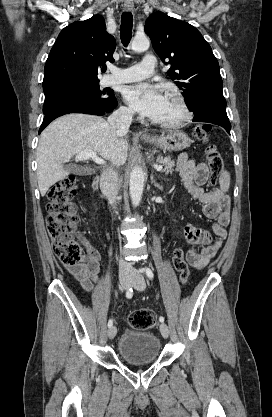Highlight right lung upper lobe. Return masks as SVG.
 <instances>
[{
    "instance_id": "cb5924a9",
    "label": "right lung upper lobe",
    "mask_w": 272,
    "mask_h": 417,
    "mask_svg": "<svg viewBox=\"0 0 272 417\" xmlns=\"http://www.w3.org/2000/svg\"><path fill=\"white\" fill-rule=\"evenodd\" d=\"M115 47V38L106 32L100 15L68 25L60 32L46 61L43 91L98 83V70L106 61H114Z\"/></svg>"
}]
</instances>
